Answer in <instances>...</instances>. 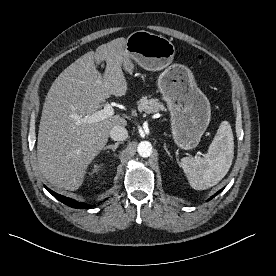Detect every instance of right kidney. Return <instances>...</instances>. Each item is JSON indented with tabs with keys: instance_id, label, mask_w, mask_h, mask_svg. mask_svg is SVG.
Masks as SVG:
<instances>
[{
	"instance_id": "right-kidney-1",
	"label": "right kidney",
	"mask_w": 276,
	"mask_h": 276,
	"mask_svg": "<svg viewBox=\"0 0 276 276\" xmlns=\"http://www.w3.org/2000/svg\"><path fill=\"white\" fill-rule=\"evenodd\" d=\"M100 166L99 165H94L93 173H98L100 171Z\"/></svg>"
}]
</instances>
